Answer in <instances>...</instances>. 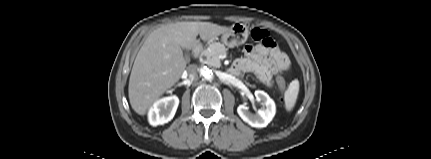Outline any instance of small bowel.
<instances>
[{
	"label": "small bowel",
	"instance_id": "obj_1",
	"mask_svg": "<svg viewBox=\"0 0 431 159\" xmlns=\"http://www.w3.org/2000/svg\"><path fill=\"white\" fill-rule=\"evenodd\" d=\"M289 67L288 56L270 38L269 44L246 45L244 57L235 62L232 70L252 72L264 84L270 86L273 76L286 71Z\"/></svg>",
	"mask_w": 431,
	"mask_h": 159
}]
</instances>
